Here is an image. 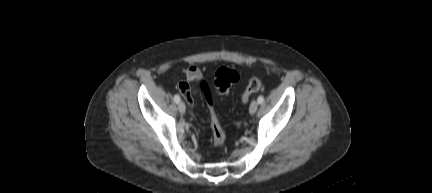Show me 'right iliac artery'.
<instances>
[{
  "instance_id": "1",
  "label": "right iliac artery",
  "mask_w": 432,
  "mask_h": 193,
  "mask_svg": "<svg viewBox=\"0 0 432 193\" xmlns=\"http://www.w3.org/2000/svg\"><path fill=\"white\" fill-rule=\"evenodd\" d=\"M174 101H175L176 103L180 102V97H179V95H175V96H174Z\"/></svg>"
}]
</instances>
